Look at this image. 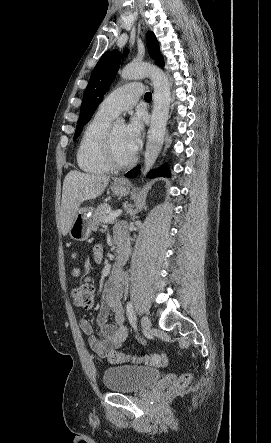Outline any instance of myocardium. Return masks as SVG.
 Returning <instances> with one entry per match:
<instances>
[{
	"label": "myocardium",
	"instance_id": "myocardium-1",
	"mask_svg": "<svg viewBox=\"0 0 271 443\" xmlns=\"http://www.w3.org/2000/svg\"><path fill=\"white\" fill-rule=\"evenodd\" d=\"M104 148L107 161L113 168L123 169L132 165L135 161L134 155L126 160H122L118 157L114 145V125H111L108 128Z\"/></svg>",
	"mask_w": 271,
	"mask_h": 443
}]
</instances>
